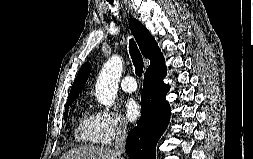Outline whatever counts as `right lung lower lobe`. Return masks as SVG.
<instances>
[{
  "label": "right lung lower lobe",
  "instance_id": "obj_1",
  "mask_svg": "<svg viewBox=\"0 0 253 159\" xmlns=\"http://www.w3.org/2000/svg\"><path fill=\"white\" fill-rule=\"evenodd\" d=\"M166 69L144 74L141 94V117L126 141L130 159H155L156 144L167 128L170 106L165 97L169 86L163 82Z\"/></svg>",
  "mask_w": 253,
  "mask_h": 159
}]
</instances>
